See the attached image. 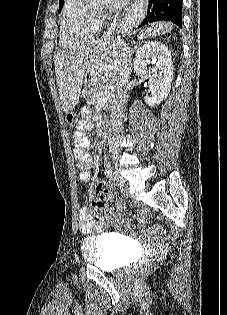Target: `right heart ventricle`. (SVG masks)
<instances>
[{"instance_id": "obj_1", "label": "right heart ventricle", "mask_w": 227, "mask_h": 315, "mask_svg": "<svg viewBox=\"0 0 227 315\" xmlns=\"http://www.w3.org/2000/svg\"><path fill=\"white\" fill-rule=\"evenodd\" d=\"M101 22L83 0H64L59 17V42L64 48L79 45L93 38Z\"/></svg>"}]
</instances>
